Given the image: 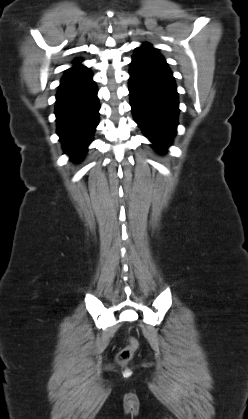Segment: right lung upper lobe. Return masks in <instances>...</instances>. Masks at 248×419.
Returning <instances> with one entry per match:
<instances>
[{"mask_svg":"<svg viewBox=\"0 0 248 419\" xmlns=\"http://www.w3.org/2000/svg\"><path fill=\"white\" fill-rule=\"evenodd\" d=\"M81 62V60L80 59H78V60H75L74 61V64H79Z\"/></svg>","mask_w":248,"mask_h":419,"instance_id":"cb5924a9","label":"right lung upper lobe"}]
</instances>
